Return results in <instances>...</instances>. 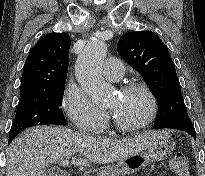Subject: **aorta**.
<instances>
[{
    "label": "aorta",
    "mask_w": 205,
    "mask_h": 176,
    "mask_svg": "<svg viewBox=\"0 0 205 176\" xmlns=\"http://www.w3.org/2000/svg\"><path fill=\"white\" fill-rule=\"evenodd\" d=\"M107 54V46L102 41H91L78 56L75 76L81 88L95 102H104L110 87L102 77V64Z\"/></svg>",
    "instance_id": "obj_1"
}]
</instances>
